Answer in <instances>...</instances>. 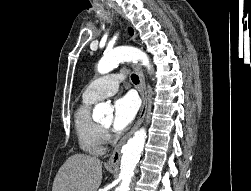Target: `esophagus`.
Here are the masks:
<instances>
[{
	"label": "esophagus",
	"instance_id": "1",
	"mask_svg": "<svg viewBox=\"0 0 251 191\" xmlns=\"http://www.w3.org/2000/svg\"><path fill=\"white\" fill-rule=\"evenodd\" d=\"M134 70L138 73L139 78H140V96L142 98V107L140 110V114L137 118L136 123L134 124L133 128L129 131V133L125 134L123 138L120 139V141L117 143L112 156L109 158L107 165L114 167L117 166L120 160V154H121V148L124 145V143L130 138V136L133 135V133L139 128L141 125L145 114L147 110V88H146V82H145V77L144 73L142 70V67L140 63H134L133 65Z\"/></svg>",
	"mask_w": 251,
	"mask_h": 191
}]
</instances>
